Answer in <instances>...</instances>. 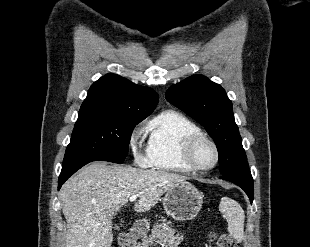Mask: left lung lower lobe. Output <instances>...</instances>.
Listing matches in <instances>:
<instances>
[{"label": "left lung lower lobe", "instance_id": "left-lung-lower-lobe-1", "mask_svg": "<svg viewBox=\"0 0 310 247\" xmlns=\"http://www.w3.org/2000/svg\"><path fill=\"white\" fill-rule=\"evenodd\" d=\"M220 178L241 187L248 195L250 202H253V178L249 169L240 173L222 175Z\"/></svg>", "mask_w": 310, "mask_h": 247}]
</instances>
